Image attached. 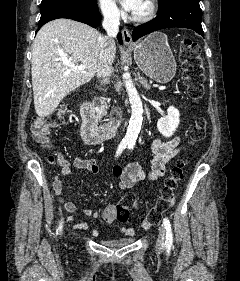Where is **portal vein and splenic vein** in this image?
Returning <instances> with one entry per match:
<instances>
[{"label":"portal vein and splenic vein","mask_w":240,"mask_h":281,"mask_svg":"<svg viewBox=\"0 0 240 281\" xmlns=\"http://www.w3.org/2000/svg\"><path fill=\"white\" fill-rule=\"evenodd\" d=\"M66 65L70 68V70H73V71H84L85 70L84 65H76V64L71 63V62H66ZM158 89L159 90H165L166 86H159Z\"/></svg>","instance_id":"obj_1"}]
</instances>
